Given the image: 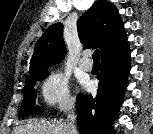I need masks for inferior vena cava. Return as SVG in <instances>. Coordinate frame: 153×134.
<instances>
[{
    "label": "inferior vena cava",
    "mask_w": 153,
    "mask_h": 134,
    "mask_svg": "<svg viewBox=\"0 0 153 134\" xmlns=\"http://www.w3.org/2000/svg\"><path fill=\"white\" fill-rule=\"evenodd\" d=\"M73 104L69 105V113L67 116L68 119V124H67V128H68V134H77V130H76V126H75V121H76V115L74 113V111L72 110Z\"/></svg>",
    "instance_id": "602c4592"
}]
</instances>
